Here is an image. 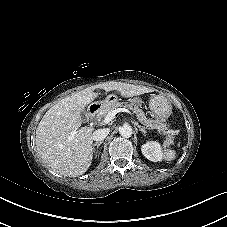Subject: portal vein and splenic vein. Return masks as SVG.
I'll return each mask as SVG.
<instances>
[{
    "mask_svg": "<svg viewBox=\"0 0 227 227\" xmlns=\"http://www.w3.org/2000/svg\"><path fill=\"white\" fill-rule=\"evenodd\" d=\"M119 112H126V113L132 115V113H131L128 109H126V108H117V109H115V110L109 112V113L106 115V117L104 118L103 122H104L105 124H108L109 122L112 121V119L115 117V115H116L117 113H119ZM75 134H76V131H72V132H71V135H75Z\"/></svg>",
    "mask_w": 227,
    "mask_h": 227,
    "instance_id": "obj_1",
    "label": "portal vein and splenic vein"
}]
</instances>
